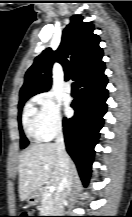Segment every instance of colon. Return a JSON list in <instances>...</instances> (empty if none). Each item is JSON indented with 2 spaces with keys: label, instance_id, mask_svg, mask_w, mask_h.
<instances>
[{
  "label": "colon",
  "instance_id": "5ec220e1",
  "mask_svg": "<svg viewBox=\"0 0 132 217\" xmlns=\"http://www.w3.org/2000/svg\"><path fill=\"white\" fill-rule=\"evenodd\" d=\"M19 217H34V216H30L29 213L24 212V213H22Z\"/></svg>",
  "mask_w": 132,
  "mask_h": 217
}]
</instances>
